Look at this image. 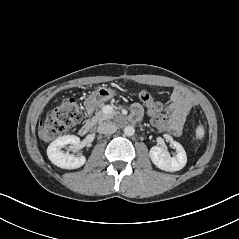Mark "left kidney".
I'll return each instance as SVG.
<instances>
[{
	"instance_id": "obj_1",
	"label": "left kidney",
	"mask_w": 239,
	"mask_h": 239,
	"mask_svg": "<svg viewBox=\"0 0 239 239\" xmlns=\"http://www.w3.org/2000/svg\"><path fill=\"white\" fill-rule=\"evenodd\" d=\"M171 145L176 149V155L171 157L168 151L162 146H153L149 156L152 162L161 170L179 171L187 163V156L182 145L177 141H171Z\"/></svg>"
}]
</instances>
